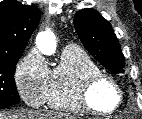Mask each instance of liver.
<instances>
[{
    "instance_id": "6515ba94",
    "label": "liver",
    "mask_w": 142,
    "mask_h": 119,
    "mask_svg": "<svg viewBox=\"0 0 142 119\" xmlns=\"http://www.w3.org/2000/svg\"><path fill=\"white\" fill-rule=\"evenodd\" d=\"M0 119H68V116L51 111L27 110L14 114L0 113Z\"/></svg>"
}]
</instances>
